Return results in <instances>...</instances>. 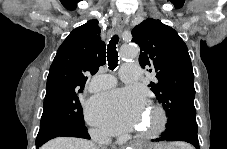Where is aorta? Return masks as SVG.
Segmentation results:
<instances>
[{
    "label": "aorta",
    "mask_w": 227,
    "mask_h": 149,
    "mask_svg": "<svg viewBox=\"0 0 227 149\" xmlns=\"http://www.w3.org/2000/svg\"><path fill=\"white\" fill-rule=\"evenodd\" d=\"M138 55V48L126 45L121 50V57L124 59H134Z\"/></svg>",
    "instance_id": "obj_1"
}]
</instances>
